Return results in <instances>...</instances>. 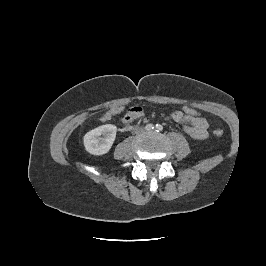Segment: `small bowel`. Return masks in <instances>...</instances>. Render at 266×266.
Here are the masks:
<instances>
[{
	"label": "small bowel",
	"instance_id": "c3829d8e",
	"mask_svg": "<svg viewBox=\"0 0 266 266\" xmlns=\"http://www.w3.org/2000/svg\"><path fill=\"white\" fill-rule=\"evenodd\" d=\"M130 116L127 121H133L144 115V110L139 106H134L129 109ZM116 113V109L107 112L102 120L107 121ZM171 118L179 123L184 124V131L188 136L196 140L205 139L208 136V122L202 117L193 118L184 115L181 111L171 113Z\"/></svg>",
	"mask_w": 266,
	"mask_h": 266
}]
</instances>
